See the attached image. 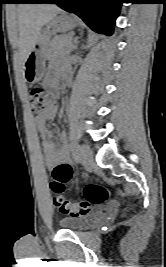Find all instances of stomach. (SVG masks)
Listing matches in <instances>:
<instances>
[{
  "label": "stomach",
  "instance_id": "0dacf381",
  "mask_svg": "<svg viewBox=\"0 0 166 267\" xmlns=\"http://www.w3.org/2000/svg\"><path fill=\"white\" fill-rule=\"evenodd\" d=\"M75 26V20L65 12L58 13L45 24L37 42L23 63V75L28 83L39 82L44 77L50 38L56 33L70 31Z\"/></svg>",
  "mask_w": 166,
  "mask_h": 267
}]
</instances>
